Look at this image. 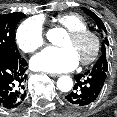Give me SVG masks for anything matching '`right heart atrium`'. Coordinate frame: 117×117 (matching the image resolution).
<instances>
[{"instance_id":"d8ad5b80","label":"right heart atrium","mask_w":117,"mask_h":117,"mask_svg":"<svg viewBox=\"0 0 117 117\" xmlns=\"http://www.w3.org/2000/svg\"><path fill=\"white\" fill-rule=\"evenodd\" d=\"M16 40L20 49L25 53H33L40 49L45 41L43 20L31 17L24 20L17 28Z\"/></svg>"}]
</instances>
